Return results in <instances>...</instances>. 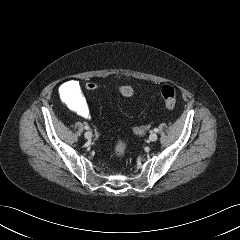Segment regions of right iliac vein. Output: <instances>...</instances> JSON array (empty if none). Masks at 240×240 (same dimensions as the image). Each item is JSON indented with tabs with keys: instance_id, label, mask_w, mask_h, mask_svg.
<instances>
[{
	"instance_id": "obj_1",
	"label": "right iliac vein",
	"mask_w": 240,
	"mask_h": 240,
	"mask_svg": "<svg viewBox=\"0 0 240 240\" xmlns=\"http://www.w3.org/2000/svg\"><path fill=\"white\" fill-rule=\"evenodd\" d=\"M84 137L86 139H91L92 138V133L90 131L85 132Z\"/></svg>"
}]
</instances>
